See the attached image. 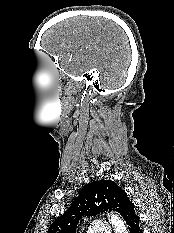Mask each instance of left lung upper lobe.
Masks as SVG:
<instances>
[{
	"mask_svg": "<svg viewBox=\"0 0 174 233\" xmlns=\"http://www.w3.org/2000/svg\"><path fill=\"white\" fill-rule=\"evenodd\" d=\"M107 210L117 211L126 219L134 212V205L115 182H91L80 190L70 208L50 225L48 233H76L84 216H96Z\"/></svg>",
	"mask_w": 174,
	"mask_h": 233,
	"instance_id": "obj_1",
	"label": "left lung upper lobe"
}]
</instances>
